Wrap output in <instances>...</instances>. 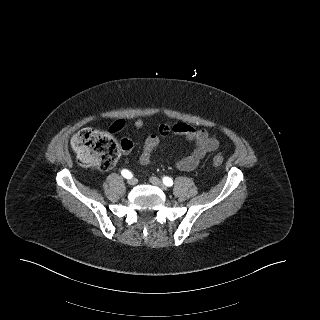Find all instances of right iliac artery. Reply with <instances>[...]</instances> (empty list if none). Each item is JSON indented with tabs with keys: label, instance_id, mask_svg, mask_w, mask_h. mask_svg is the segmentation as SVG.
Masks as SVG:
<instances>
[{
	"label": "right iliac artery",
	"instance_id": "1",
	"mask_svg": "<svg viewBox=\"0 0 320 320\" xmlns=\"http://www.w3.org/2000/svg\"><path fill=\"white\" fill-rule=\"evenodd\" d=\"M121 174L126 179H131L133 177V174L130 171L126 170V169L122 170Z\"/></svg>",
	"mask_w": 320,
	"mask_h": 320
}]
</instances>
